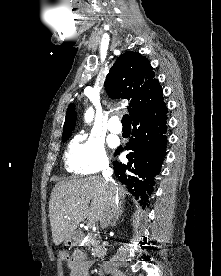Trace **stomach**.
<instances>
[{
  "mask_svg": "<svg viewBox=\"0 0 221 276\" xmlns=\"http://www.w3.org/2000/svg\"><path fill=\"white\" fill-rule=\"evenodd\" d=\"M80 241V236L77 232L72 233L68 238L65 239V245L69 247L77 246Z\"/></svg>",
  "mask_w": 221,
  "mask_h": 276,
  "instance_id": "1",
  "label": "stomach"
}]
</instances>
